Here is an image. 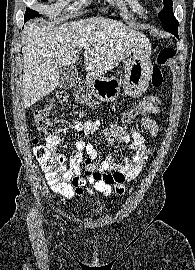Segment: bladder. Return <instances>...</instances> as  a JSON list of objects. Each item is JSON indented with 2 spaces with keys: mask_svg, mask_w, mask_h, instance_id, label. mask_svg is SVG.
Here are the masks:
<instances>
[{
  "mask_svg": "<svg viewBox=\"0 0 195 270\" xmlns=\"http://www.w3.org/2000/svg\"><path fill=\"white\" fill-rule=\"evenodd\" d=\"M91 215L92 216H98V217H102L107 215V211L104 209H94L91 211Z\"/></svg>",
  "mask_w": 195,
  "mask_h": 270,
  "instance_id": "1",
  "label": "bladder"
}]
</instances>
